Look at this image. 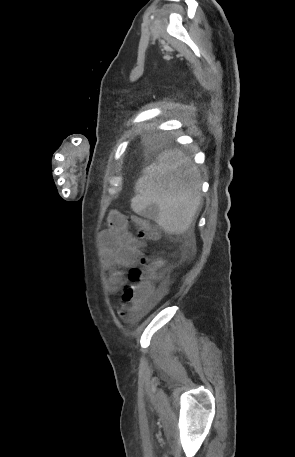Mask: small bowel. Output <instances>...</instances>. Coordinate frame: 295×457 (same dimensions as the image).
<instances>
[{"label": "small bowel", "mask_w": 295, "mask_h": 457, "mask_svg": "<svg viewBox=\"0 0 295 457\" xmlns=\"http://www.w3.org/2000/svg\"><path fill=\"white\" fill-rule=\"evenodd\" d=\"M107 228L101 233L103 256L110 270L109 290L115 292L125 284L121 268H134L141 258L144 243L130 230L128 217L111 211L106 219ZM162 284L153 289L150 297L159 298L165 293Z\"/></svg>", "instance_id": "1"}]
</instances>
